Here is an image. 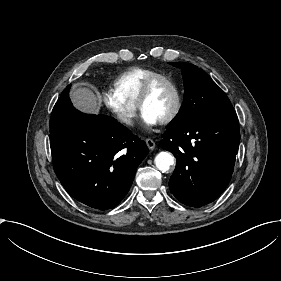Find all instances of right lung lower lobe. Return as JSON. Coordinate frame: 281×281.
Masks as SVG:
<instances>
[{"label":"right lung lower lobe","instance_id":"98d812e1","mask_svg":"<svg viewBox=\"0 0 281 281\" xmlns=\"http://www.w3.org/2000/svg\"><path fill=\"white\" fill-rule=\"evenodd\" d=\"M68 85L50 117L54 171L76 200L96 209L117 206L128 193L149 150L114 118L84 114L69 98Z\"/></svg>","mask_w":281,"mask_h":281}]
</instances>
